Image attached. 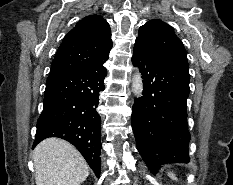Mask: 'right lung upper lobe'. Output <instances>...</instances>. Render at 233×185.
Instances as JSON below:
<instances>
[{"label":"right lung upper lobe","instance_id":"1","mask_svg":"<svg viewBox=\"0 0 233 185\" xmlns=\"http://www.w3.org/2000/svg\"><path fill=\"white\" fill-rule=\"evenodd\" d=\"M111 30L100 15L80 20L64 37L52 62L50 74L103 66L112 48Z\"/></svg>","mask_w":233,"mask_h":185}]
</instances>
